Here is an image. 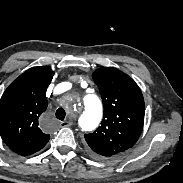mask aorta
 <instances>
[{
  "label": "aorta",
  "mask_w": 183,
  "mask_h": 183,
  "mask_svg": "<svg viewBox=\"0 0 183 183\" xmlns=\"http://www.w3.org/2000/svg\"><path fill=\"white\" fill-rule=\"evenodd\" d=\"M84 109L79 116V125L84 131L95 129L102 118V104L96 94H87L83 98Z\"/></svg>",
  "instance_id": "aorta-1"
}]
</instances>
